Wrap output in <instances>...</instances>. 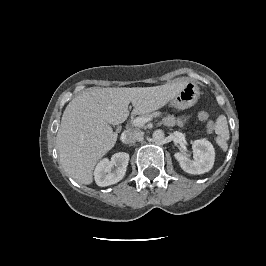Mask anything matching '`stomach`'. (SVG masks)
Returning <instances> with one entry per match:
<instances>
[{"instance_id": "1", "label": "stomach", "mask_w": 266, "mask_h": 266, "mask_svg": "<svg viewBox=\"0 0 266 266\" xmlns=\"http://www.w3.org/2000/svg\"><path fill=\"white\" fill-rule=\"evenodd\" d=\"M199 95L200 91L196 83L185 82L180 91L171 100V105L177 109H186L197 102Z\"/></svg>"}]
</instances>
